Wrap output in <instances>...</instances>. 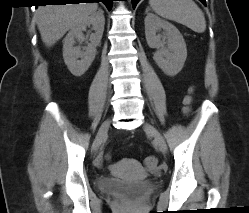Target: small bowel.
I'll return each instance as SVG.
<instances>
[{
    "label": "small bowel",
    "instance_id": "small-bowel-1",
    "mask_svg": "<svg viewBox=\"0 0 249 213\" xmlns=\"http://www.w3.org/2000/svg\"><path fill=\"white\" fill-rule=\"evenodd\" d=\"M103 159H109V156L108 155H106L104 158L103 157H99L98 159H97V161H96V163H97V165H101L102 164V162H103Z\"/></svg>",
    "mask_w": 249,
    "mask_h": 213
}]
</instances>
